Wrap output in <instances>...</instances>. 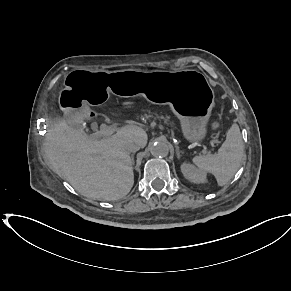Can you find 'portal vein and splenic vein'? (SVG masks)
Here are the masks:
<instances>
[{"label":"portal vein and splenic vein","mask_w":291,"mask_h":291,"mask_svg":"<svg viewBox=\"0 0 291 291\" xmlns=\"http://www.w3.org/2000/svg\"><path fill=\"white\" fill-rule=\"evenodd\" d=\"M120 127L116 125L107 126L105 124H102L100 127V130L92 134V137L94 138H100V137H107L112 135L114 132L118 131ZM204 152H207L206 148H204Z\"/></svg>","instance_id":"portal-vein-and-splenic-vein-1"}]
</instances>
